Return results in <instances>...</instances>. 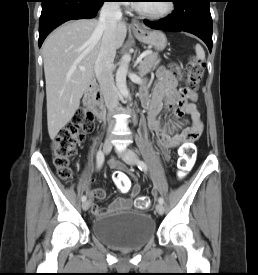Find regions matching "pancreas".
<instances>
[{
  "label": "pancreas",
  "instance_id": "obj_1",
  "mask_svg": "<svg viewBox=\"0 0 258 275\" xmlns=\"http://www.w3.org/2000/svg\"><path fill=\"white\" fill-rule=\"evenodd\" d=\"M159 63L158 54L150 53L144 57L138 66V74L145 75Z\"/></svg>",
  "mask_w": 258,
  "mask_h": 275
}]
</instances>
